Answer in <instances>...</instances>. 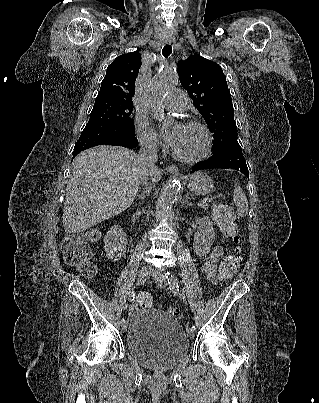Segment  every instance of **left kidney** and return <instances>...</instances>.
<instances>
[{
    "mask_svg": "<svg viewBox=\"0 0 319 403\" xmlns=\"http://www.w3.org/2000/svg\"><path fill=\"white\" fill-rule=\"evenodd\" d=\"M198 225L197 232L194 235V251L199 256H204L210 251V247L215 240L213 223L208 216L195 219Z\"/></svg>",
    "mask_w": 319,
    "mask_h": 403,
    "instance_id": "1",
    "label": "left kidney"
}]
</instances>
